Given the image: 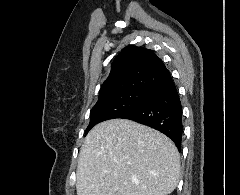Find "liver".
Wrapping results in <instances>:
<instances>
[{
    "label": "liver",
    "instance_id": "liver-1",
    "mask_svg": "<svg viewBox=\"0 0 240 195\" xmlns=\"http://www.w3.org/2000/svg\"><path fill=\"white\" fill-rule=\"evenodd\" d=\"M180 177L179 151L164 133L131 119H107L80 147L77 195H168Z\"/></svg>",
    "mask_w": 240,
    "mask_h": 195
}]
</instances>
